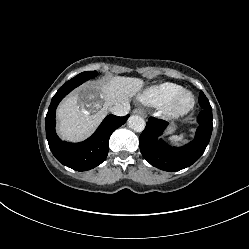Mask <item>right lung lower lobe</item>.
<instances>
[{
    "label": "right lung lower lobe",
    "mask_w": 249,
    "mask_h": 249,
    "mask_svg": "<svg viewBox=\"0 0 249 249\" xmlns=\"http://www.w3.org/2000/svg\"><path fill=\"white\" fill-rule=\"evenodd\" d=\"M84 79L72 78L54 95L46 115V136L49 147L56 159L63 165L77 171L90 170L101 164L108 155L109 138L114 130L123 125L129 115L118 117L108 115L95 133L87 140L72 144L60 140L55 132V112L59 102Z\"/></svg>",
    "instance_id": "right-lung-lower-lobe-1"
}]
</instances>
